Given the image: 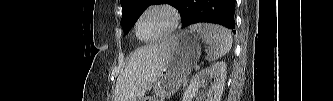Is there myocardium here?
Returning <instances> with one entry per match:
<instances>
[{
    "label": "myocardium",
    "mask_w": 333,
    "mask_h": 101,
    "mask_svg": "<svg viewBox=\"0 0 333 101\" xmlns=\"http://www.w3.org/2000/svg\"><path fill=\"white\" fill-rule=\"evenodd\" d=\"M153 11H164V12L168 13L172 18V22H171V25L169 26V28L164 33H162L156 37L146 39L140 35L139 25H140V22L143 19V17ZM180 22H181V15L174 6L169 5V4H155L153 6L148 7L147 9H145L144 11H142L139 14V16L135 22V33H136V36L138 37V39L141 41L154 42V41L163 39V38L171 35L179 27Z\"/></svg>",
    "instance_id": "f54148a6"
}]
</instances>
